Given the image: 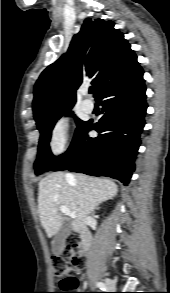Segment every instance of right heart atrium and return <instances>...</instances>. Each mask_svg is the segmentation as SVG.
<instances>
[{"label":"right heart atrium","mask_w":170,"mask_h":293,"mask_svg":"<svg viewBox=\"0 0 170 293\" xmlns=\"http://www.w3.org/2000/svg\"><path fill=\"white\" fill-rule=\"evenodd\" d=\"M69 140V120L65 117L59 118L54 124L50 140L49 148L54 155L61 154L68 144Z\"/></svg>","instance_id":"obj_1"}]
</instances>
